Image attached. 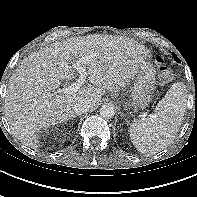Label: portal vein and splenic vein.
<instances>
[{
    "label": "portal vein and splenic vein",
    "instance_id": "portal-vein-and-splenic-vein-1",
    "mask_svg": "<svg viewBox=\"0 0 197 197\" xmlns=\"http://www.w3.org/2000/svg\"><path fill=\"white\" fill-rule=\"evenodd\" d=\"M89 59L90 57H82L72 64V67L75 68L79 72L80 77L77 79L76 82L72 83L70 86L60 89L59 93L72 95L80 89L82 84L85 82L86 77L89 75V72L86 71V68L84 67V64L88 62Z\"/></svg>",
    "mask_w": 197,
    "mask_h": 197
}]
</instances>
